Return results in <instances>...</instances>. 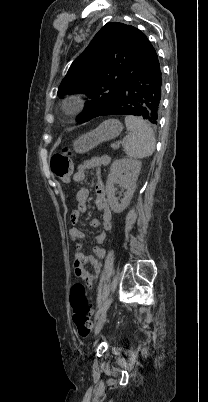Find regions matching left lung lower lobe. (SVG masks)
I'll return each instance as SVG.
<instances>
[{"instance_id":"1","label":"left lung lower lobe","mask_w":208,"mask_h":402,"mask_svg":"<svg viewBox=\"0 0 208 402\" xmlns=\"http://www.w3.org/2000/svg\"><path fill=\"white\" fill-rule=\"evenodd\" d=\"M131 38L136 44V66L117 92L116 99L98 116L135 115L157 124L159 121L163 82L157 53L148 38L134 28Z\"/></svg>"}]
</instances>
